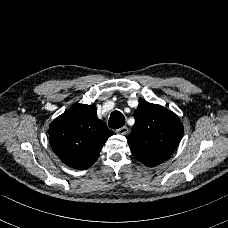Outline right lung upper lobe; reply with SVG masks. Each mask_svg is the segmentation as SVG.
Returning <instances> with one entry per match:
<instances>
[{"label":"right lung upper lobe","mask_w":228,"mask_h":228,"mask_svg":"<svg viewBox=\"0 0 228 228\" xmlns=\"http://www.w3.org/2000/svg\"><path fill=\"white\" fill-rule=\"evenodd\" d=\"M49 142L60 160L75 169H87L98 159L113 134L97 118L95 105L76 104L57 117L48 130Z\"/></svg>","instance_id":"obj_1"}]
</instances>
